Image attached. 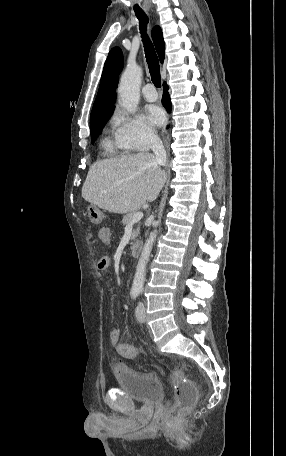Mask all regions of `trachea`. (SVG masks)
Here are the masks:
<instances>
[{
	"label": "trachea",
	"mask_w": 286,
	"mask_h": 456,
	"mask_svg": "<svg viewBox=\"0 0 286 456\" xmlns=\"http://www.w3.org/2000/svg\"><path fill=\"white\" fill-rule=\"evenodd\" d=\"M136 17L140 22V32L142 34V41L144 44L145 56L148 63V68L151 74V79L153 84L157 87H161V78H160V66L157 54L151 43L150 39L146 34V26L148 23V17L144 12H136Z\"/></svg>",
	"instance_id": "obj_1"
}]
</instances>
